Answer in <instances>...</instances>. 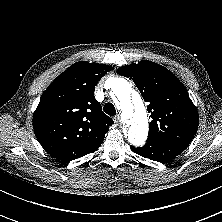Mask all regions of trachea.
<instances>
[{"mask_svg":"<svg viewBox=\"0 0 222 222\" xmlns=\"http://www.w3.org/2000/svg\"><path fill=\"white\" fill-rule=\"evenodd\" d=\"M103 110L110 116L116 115V109L112 103H106L103 107Z\"/></svg>","mask_w":222,"mask_h":222,"instance_id":"trachea-1","label":"trachea"}]
</instances>
